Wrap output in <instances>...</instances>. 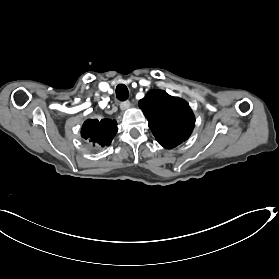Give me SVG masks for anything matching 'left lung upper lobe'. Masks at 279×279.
<instances>
[{
	"label": "left lung upper lobe",
	"mask_w": 279,
	"mask_h": 279,
	"mask_svg": "<svg viewBox=\"0 0 279 279\" xmlns=\"http://www.w3.org/2000/svg\"><path fill=\"white\" fill-rule=\"evenodd\" d=\"M139 107L148 120L149 128L158 143L172 149L192 133L194 115L188 104L162 90H152L139 101Z\"/></svg>",
	"instance_id": "1"
}]
</instances>
